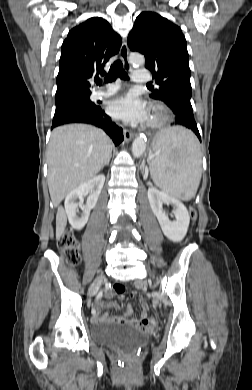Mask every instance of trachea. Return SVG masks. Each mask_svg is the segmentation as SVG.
Returning a JSON list of instances; mask_svg holds the SVG:
<instances>
[{
  "label": "trachea",
  "mask_w": 252,
  "mask_h": 390,
  "mask_svg": "<svg viewBox=\"0 0 252 390\" xmlns=\"http://www.w3.org/2000/svg\"><path fill=\"white\" fill-rule=\"evenodd\" d=\"M117 77L123 80L128 79L127 73L123 69V64L120 60L115 61L108 72V74L104 78L105 83L113 82ZM98 85L102 84L101 80H97ZM147 86H152L151 84H147Z\"/></svg>",
  "instance_id": "trachea-1"
}]
</instances>
